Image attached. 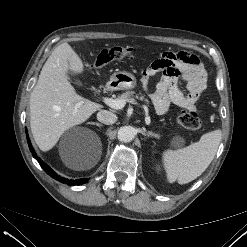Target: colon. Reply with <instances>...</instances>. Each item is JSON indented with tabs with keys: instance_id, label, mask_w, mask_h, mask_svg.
<instances>
[{
	"instance_id": "colon-1",
	"label": "colon",
	"mask_w": 247,
	"mask_h": 247,
	"mask_svg": "<svg viewBox=\"0 0 247 247\" xmlns=\"http://www.w3.org/2000/svg\"><path fill=\"white\" fill-rule=\"evenodd\" d=\"M133 55L134 50L132 48L116 46L104 49L97 56L95 66L103 67L111 61L125 57H132ZM177 123L182 127L192 131L200 129L202 124L198 114L194 110H187L180 113L177 116Z\"/></svg>"
}]
</instances>
